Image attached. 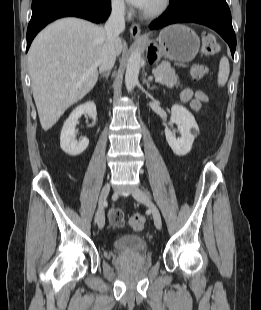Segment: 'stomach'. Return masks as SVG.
<instances>
[{"instance_id":"obj_1","label":"stomach","mask_w":261,"mask_h":310,"mask_svg":"<svg viewBox=\"0 0 261 310\" xmlns=\"http://www.w3.org/2000/svg\"><path fill=\"white\" fill-rule=\"evenodd\" d=\"M145 46L148 51V58L154 64H157L162 57L188 63L197 55L200 39L189 27L174 24L161 30L158 43L148 41Z\"/></svg>"}]
</instances>
